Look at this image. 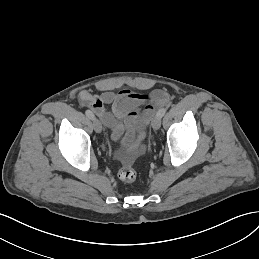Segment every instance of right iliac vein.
<instances>
[{"label": "right iliac vein", "instance_id": "right-iliac-vein-1", "mask_svg": "<svg viewBox=\"0 0 259 259\" xmlns=\"http://www.w3.org/2000/svg\"><path fill=\"white\" fill-rule=\"evenodd\" d=\"M93 126H94V130H95L97 133H100V132H101L102 126H101L100 121H99L97 118H94V119H93Z\"/></svg>", "mask_w": 259, "mask_h": 259}]
</instances>
